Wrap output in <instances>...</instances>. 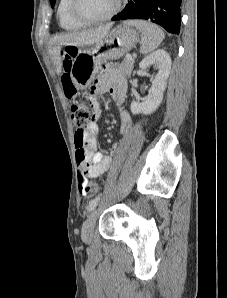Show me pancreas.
I'll return each mask as SVG.
<instances>
[{"label": "pancreas", "mask_w": 227, "mask_h": 298, "mask_svg": "<svg viewBox=\"0 0 227 298\" xmlns=\"http://www.w3.org/2000/svg\"><path fill=\"white\" fill-rule=\"evenodd\" d=\"M134 60H125L119 65V70L126 75H130L133 69Z\"/></svg>", "instance_id": "obj_1"}]
</instances>
